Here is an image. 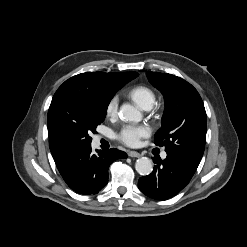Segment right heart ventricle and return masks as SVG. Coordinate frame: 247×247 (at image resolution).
Instances as JSON below:
<instances>
[{"label":"right heart ventricle","instance_id":"obj_1","mask_svg":"<svg viewBox=\"0 0 247 247\" xmlns=\"http://www.w3.org/2000/svg\"><path fill=\"white\" fill-rule=\"evenodd\" d=\"M129 97L144 110L152 108L155 103V92L146 85H136L128 91Z\"/></svg>","mask_w":247,"mask_h":247}]
</instances>
